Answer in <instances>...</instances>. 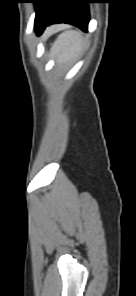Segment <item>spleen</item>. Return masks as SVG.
I'll use <instances>...</instances> for the list:
<instances>
[{
	"mask_svg": "<svg viewBox=\"0 0 136 296\" xmlns=\"http://www.w3.org/2000/svg\"><path fill=\"white\" fill-rule=\"evenodd\" d=\"M84 45L82 35L73 30L62 33L56 43L58 61H67L78 55Z\"/></svg>",
	"mask_w": 136,
	"mask_h": 296,
	"instance_id": "3e777b00",
	"label": "spleen"
}]
</instances>
